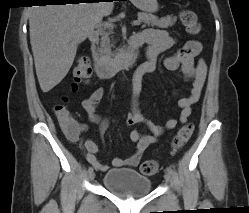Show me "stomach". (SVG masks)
<instances>
[{"mask_svg": "<svg viewBox=\"0 0 249 213\" xmlns=\"http://www.w3.org/2000/svg\"><path fill=\"white\" fill-rule=\"evenodd\" d=\"M131 2L141 11L153 13L158 10L157 0H131Z\"/></svg>", "mask_w": 249, "mask_h": 213, "instance_id": "1", "label": "stomach"}]
</instances>
